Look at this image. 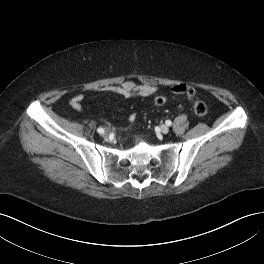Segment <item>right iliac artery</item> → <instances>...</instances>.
Masks as SVG:
<instances>
[{
  "label": "right iliac artery",
  "instance_id": "obj_1",
  "mask_svg": "<svg viewBox=\"0 0 264 264\" xmlns=\"http://www.w3.org/2000/svg\"><path fill=\"white\" fill-rule=\"evenodd\" d=\"M97 132L100 133V134H102V133H104V129L101 128V127H99V128L97 129Z\"/></svg>",
  "mask_w": 264,
  "mask_h": 264
}]
</instances>
